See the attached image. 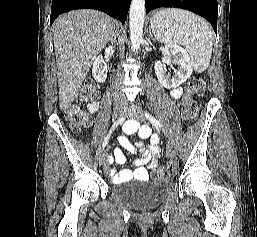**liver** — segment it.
Listing matches in <instances>:
<instances>
[{
    "label": "liver",
    "instance_id": "6515ba94",
    "mask_svg": "<svg viewBox=\"0 0 257 237\" xmlns=\"http://www.w3.org/2000/svg\"><path fill=\"white\" fill-rule=\"evenodd\" d=\"M114 32V20L96 10L71 11L56 19L53 39L62 111H66L78 96L92 62Z\"/></svg>",
    "mask_w": 257,
    "mask_h": 237
}]
</instances>
